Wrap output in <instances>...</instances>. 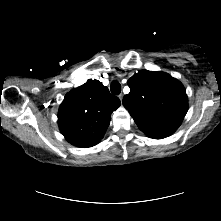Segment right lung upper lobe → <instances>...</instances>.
<instances>
[{
  "label": "right lung upper lobe",
  "mask_w": 221,
  "mask_h": 221,
  "mask_svg": "<svg viewBox=\"0 0 221 221\" xmlns=\"http://www.w3.org/2000/svg\"><path fill=\"white\" fill-rule=\"evenodd\" d=\"M120 106L98 80H89L67 93L58 112V125L64 137L78 147H92L105 134L111 113Z\"/></svg>",
  "instance_id": "1"
}]
</instances>
